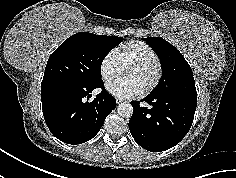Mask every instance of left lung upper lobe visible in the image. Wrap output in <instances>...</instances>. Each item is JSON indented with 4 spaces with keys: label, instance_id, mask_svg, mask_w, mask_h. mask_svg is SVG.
<instances>
[{
    "label": "left lung upper lobe",
    "instance_id": "1",
    "mask_svg": "<svg viewBox=\"0 0 236 178\" xmlns=\"http://www.w3.org/2000/svg\"><path fill=\"white\" fill-rule=\"evenodd\" d=\"M160 58L163 76L152 95L197 97L190 65L169 42L158 37L143 38Z\"/></svg>",
    "mask_w": 236,
    "mask_h": 178
}]
</instances>
